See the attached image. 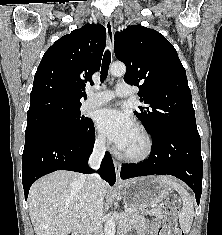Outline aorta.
I'll use <instances>...</instances> for the list:
<instances>
[{"label":"aorta","mask_w":222,"mask_h":235,"mask_svg":"<svg viewBox=\"0 0 222 235\" xmlns=\"http://www.w3.org/2000/svg\"><path fill=\"white\" fill-rule=\"evenodd\" d=\"M126 72V66L124 63H113L110 67V73L113 76H123ZM105 235H115V220L113 215L108 214L106 223L104 225Z\"/></svg>","instance_id":"aorta-1"}]
</instances>
